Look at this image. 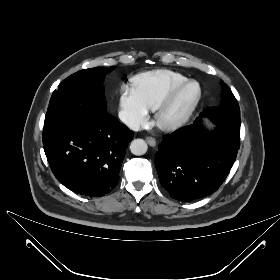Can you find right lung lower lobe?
Returning <instances> with one entry per match:
<instances>
[{"label":"right lung lower lobe","mask_w":280,"mask_h":280,"mask_svg":"<svg viewBox=\"0 0 280 280\" xmlns=\"http://www.w3.org/2000/svg\"><path fill=\"white\" fill-rule=\"evenodd\" d=\"M133 133L109 113H68L44 122V151L57 180L86 196L109 193Z\"/></svg>","instance_id":"98d812e1"}]
</instances>
